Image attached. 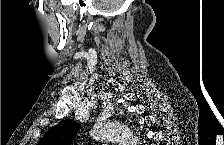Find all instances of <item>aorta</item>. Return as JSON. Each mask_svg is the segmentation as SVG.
<instances>
[{
    "label": "aorta",
    "mask_w": 224,
    "mask_h": 145,
    "mask_svg": "<svg viewBox=\"0 0 224 145\" xmlns=\"http://www.w3.org/2000/svg\"><path fill=\"white\" fill-rule=\"evenodd\" d=\"M90 135L99 141H111L119 145H138V138L132 130L118 122L96 124L91 129Z\"/></svg>",
    "instance_id": "obj_1"
}]
</instances>
